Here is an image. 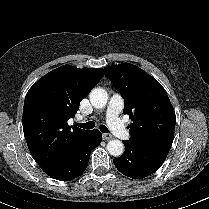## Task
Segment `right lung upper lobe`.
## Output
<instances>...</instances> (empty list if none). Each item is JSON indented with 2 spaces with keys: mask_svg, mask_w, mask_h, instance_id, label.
Returning a JSON list of instances; mask_svg holds the SVG:
<instances>
[{
  "mask_svg": "<svg viewBox=\"0 0 209 209\" xmlns=\"http://www.w3.org/2000/svg\"><path fill=\"white\" fill-rule=\"evenodd\" d=\"M103 76L102 68L62 66L39 79L27 92L23 131L28 148L47 174L59 165L88 132L67 121Z\"/></svg>",
  "mask_w": 209,
  "mask_h": 209,
  "instance_id": "1",
  "label": "right lung upper lobe"
}]
</instances>
